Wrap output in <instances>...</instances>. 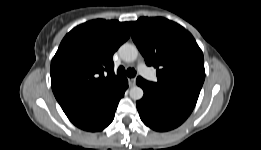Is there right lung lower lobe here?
Returning <instances> with one entry per match:
<instances>
[{
	"mask_svg": "<svg viewBox=\"0 0 261 150\" xmlns=\"http://www.w3.org/2000/svg\"><path fill=\"white\" fill-rule=\"evenodd\" d=\"M127 87L128 82L125 79L122 89L117 94L78 119L73 120L72 123L86 131L103 130L112 122L119 100L124 96Z\"/></svg>",
	"mask_w": 261,
	"mask_h": 150,
	"instance_id": "98d812e1",
	"label": "right lung lower lobe"
}]
</instances>
